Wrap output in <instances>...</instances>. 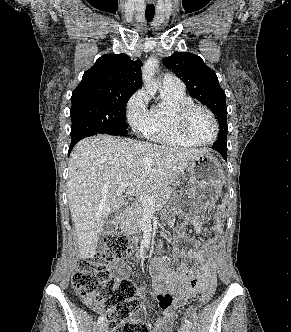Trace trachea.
Listing matches in <instances>:
<instances>
[{"mask_svg": "<svg viewBox=\"0 0 291 332\" xmlns=\"http://www.w3.org/2000/svg\"><path fill=\"white\" fill-rule=\"evenodd\" d=\"M155 7L154 4H148L145 10V17L148 22H151L154 18Z\"/></svg>", "mask_w": 291, "mask_h": 332, "instance_id": "trachea-1", "label": "trachea"}]
</instances>
